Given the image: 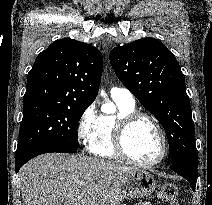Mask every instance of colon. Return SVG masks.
Returning a JSON list of instances; mask_svg holds the SVG:
<instances>
[{"instance_id": "5ec220e1", "label": "colon", "mask_w": 212, "mask_h": 205, "mask_svg": "<svg viewBox=\"0 0 212 205\" xmlns=\"http://www.w3.org/2000/svg\"><path fill=\"white\" fill-rule=\"evenodd\" d=\"M159 198L167 205H178L179 196L177 187L173 183H164L159 189Z\"/></svg>"}]
</instances>
